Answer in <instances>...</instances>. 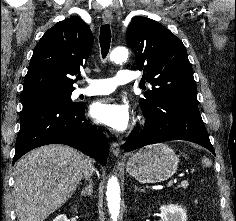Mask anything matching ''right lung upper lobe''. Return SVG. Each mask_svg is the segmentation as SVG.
<instances>
[{"mask_svg":"<svg viewBox=\"0 0 236 221\" xmlns=\"http://www.w3.org/2000/svg\"><path fill=\"white\" fill-rule=\"evenodd\" d=\"M93 35L78 16L56 23L34 48L22 93L42 89L74 90L72 76L91 53Z\"/></svg>","mask_w":236,"mask_h":221,"instance_id":"right-lung-upper-lobe-1","label":"right lung upper lobe"}]
</instances>
